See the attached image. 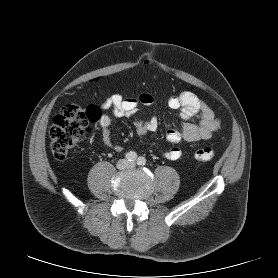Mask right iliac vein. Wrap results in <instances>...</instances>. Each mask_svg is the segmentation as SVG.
I'll use <instances>...</instances> for the list:
<instances>
[{"instance_id": "obj_1", "label": "right iliac vein", "mask_w": 278, "mask_h": 278, "mask_svg": "<svg viewBox=\"0 0 278 278\" xmlns=\"http://www.w3.org/2000/svg\"><path fill=\"white\" fill-rule=\"evenodd\" d=\"M117 167L119 169H125L127 167V161L126 160H120L117 163Z\"/></svg>"}]
</instances>
